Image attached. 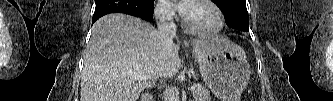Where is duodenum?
Wrapping results in <instances>:
<instances>
[{
	"mask_svg": "<svg viewBox=\"0 0 333 101\" xmlns=\"http://www.w3.org/2000/svg\"><path fill=\"white\" fill-rule=\"evenodd\" d=\"M142 101H154L153 97L150 96V95H145L143 98H142Z\"/></svg>",
	"mask_w": 333,
	"mask_h": 101,
	"instance_id": "1",
	"label": "duodenum"
}]
</instances>
